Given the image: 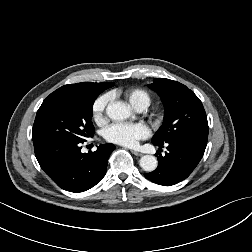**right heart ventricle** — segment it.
Returning <instances> with one entry per match:
<instances>
[{"label": "right heart ventricle", "mask_w": 252, "mask_h": 252, "mask_svg": "<svg viewBox=\"0 0 252 252\" xmlns=\"http://www.w3.org/2000/svg\"><path fill=\"white\" fill-rule=\"evenodd\" d=\"M125 97L134 108H147L151 103V95L144 89L136 88L128 90L125 92Z\"/></svg>", "instance_id": "e07e8e85"}]
</instances>
